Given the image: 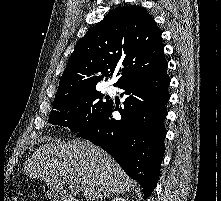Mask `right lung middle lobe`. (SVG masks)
<instances>
[{
  "label": "right lung middle lobe",
  "instance_id": "right-lung-middle-lobe-1",
  "mask_svg": "<svg viewBox=\"0 0 221 201\" xmlns=\"http://www.w3.org/2000/svg\"><path fill=\"white\" fill-rule=\"evenodd\" d=\"M96 89H88L54 99L49 123L78 132L94 122L107 110L111 100H102Z\"/></svg>",
  "mask_w": 221,
  "mask_h": 201
}]
</instances>
